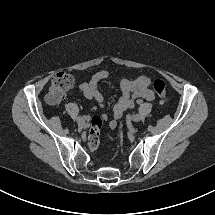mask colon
<instances>
[{
  "mask_svg": "<svg viewBox=\"0 0 215 215\" xmlns=\"http://www.w3.org/2000/svg\"><path fill=\"white\" fill-rule=\"evenodd\" d=\"M74 86V77L67 72L57 73L53 79L51 86L46 95V102L50 105H57L62 102L67 91ZM153 89L160 98L162 103L168 101V92L165 83L162 80H155L153 82ZM102 126L100 118L95 117L91 120L90 131L88 135V145L90 150L94 151L99 146V135Z\"/></svg>",
  "mask_w": 215,
  "mask_h": 215,
  "instance_id": "obj_1",
  "label": "colon"
}]
</instances>
